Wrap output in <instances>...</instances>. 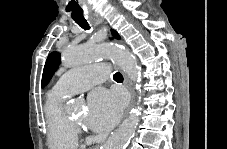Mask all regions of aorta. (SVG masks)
Masks as SVG:
<instances>
[{
  "instance_id": "762f6f07",
  "label": "aorta",
  "mask_w": 227,
  "mask_h": 149,
  "mask_svg": "<svg viewBox=\"0 0 227 149\" xmlns=\"http://www.w3.org/2000/svg\"><path fill=\"white\" fill-rule=\"evenodd\" d=\"M110 58L124 69L128 77L138 82L141 68L134 56L126 49L118 46H74L67 45L62 51V65L66 68L76 67L81 64ZM139 122V110L133 108L123 123L112 133L104 145V149H125L130 139L135 134Z\"/></svg>"
}]
</instances>
